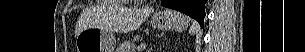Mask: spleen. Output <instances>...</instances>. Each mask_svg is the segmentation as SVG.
<instances>
[{"label":"spleen","instance_id":"3e777b00","mask_svg":"<svg viewBox=\"0 0 305 52\" xmlns=\"http://www.w3.org/2000/svg\"><path fill=\"white\" fill-rule=\"evenodd\" d=\"M198 30H199V29H198L197 25H195L192 29H190V32H191L192 34H195Z\"/></svg>","mask_w":305,"mask_h":52}]
</instances>
